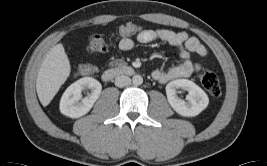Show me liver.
<instances>
[{
  "mask_svg": "<svg viewBox=\"0 0 267 166\" xmlns=\"http://www.w3.org/2000/svg\"><path fill=\"white\" fill-rule=\"evenodd\" d=\"M71 66L61 43L45 56L36 79V91L43 106L49 105L70 75Z\"/></svg>",
  "mask_w": 267,
  "mask_h": 166,
  "instance_id": "1",
  "label": "liver"
}]
</instances>
